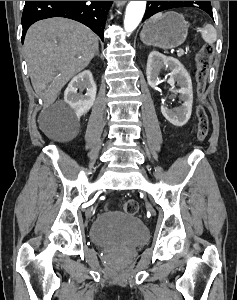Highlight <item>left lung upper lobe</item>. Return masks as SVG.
<instances>
[{"label": "left lung upper lobe", "mask_w": 237, "mask_h": 300, "mask_svg": "<svg viewBox=\"0 0 237 300\" xmlns=\"http://www.w3.org/2000/svg\"><path fill=\"white\" fill-rule=\"evenodd\" d=\"M179 7H194L205 12L212 9L210 1H148L143 21L158 12Z\"/></svg>", "instance_id": "1"}]
</instances>
